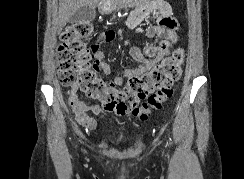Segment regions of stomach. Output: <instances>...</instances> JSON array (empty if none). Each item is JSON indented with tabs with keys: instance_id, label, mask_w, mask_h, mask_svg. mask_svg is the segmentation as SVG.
Listing matches in <instances>:
<instances>
[{
	"instance_id": "stomach-1",
	"label": "stomach",
	"mask_w": 244,
	"mask_h": 179,
	"mask_svg": "<svg viewBox=\"0 0 244 179\" xmlns=\"http://www.w3.org/2000/svg\"><path fill=\"white\" fill-rule=\"evenodd\" d=\"M123 2H126V4H134V0H123ZM116 10L115 2L113 0H104L103 4L99 6V12L101 14H111V12H114Z\"/></svg>"
}]
</instances>
